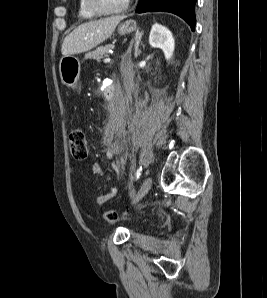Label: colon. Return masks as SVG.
<instances>
[{
  "label": "colon",
  "instance_id": "5ec220e1",
  "mask_svg": "<svg viewBox=\"0 0 267 298\" xmlns=\"http://www.w3.org/2000/svg\"><path fill=\"white\" fill-rule=\"evenodd\" d=\"M68 144L71 155L75 160L80 161L86 159L88 156V146L85 131L82 127H77L70 132ZM126 215L127 213L125 212L113 209L105 212L104 218L109 222H116Z\"/></svg>",
  "mask_w": 267,
  "mask_h": 298
}]
</instances>
